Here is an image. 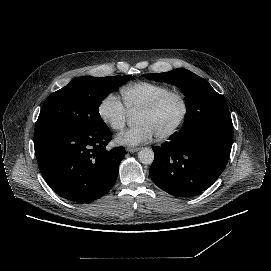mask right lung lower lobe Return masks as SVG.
Here are the masks:
<instances>
[{"label":"right lung lower lobe","mask_w":271,"mask_h":271,"mask_svg":"<svg viewBox=\"0 0 271 271\" xmlns=\"http://www.w3.org/2000/svg\"><path fill=\"white\" fill-rule=\"evenodd\" d=\"M111 132L106 124L92 129L47 125L35 130L39 169L61 197L87 203L105 195L114 185L125 148L106 150Z\"/></svg>","instance_id":"98d812e1"}]
</instances>
